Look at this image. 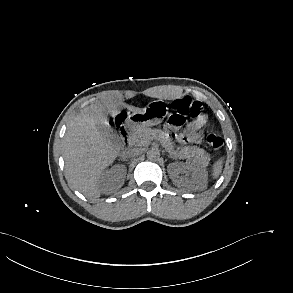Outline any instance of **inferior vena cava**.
Returning <instances> with one entry per match:
<instances>
[{
	"mask_svg": "<svg viewBox=\"0 0 293 293\" xmlns=\"http://www.w3.org/2000/svg\"><path fill=\"white\" fill-rule=\"evenodd\" d=\"M140 152H141L140 148H137V147L130 148L123 152L122 157L124 159L132 158V157L138 156Z\"/></svg>",
	"mask_w": 293,
	"mask_h": 293,
	"instance_id": "obj_1",
	"label": "inferior vena cava"
}]
</instances>
